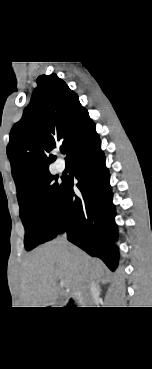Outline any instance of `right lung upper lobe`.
<instances>
[{
	"label": "right lung upper lobe",
	"instance_id": "right-lung-upper-lobe-1",
	"mask_svg": "<svg viewBox=\"0 0 152 369\" xmlns=\"http://www.w3.org/2000/svg\"><path fill=\"white\" fill-rule=\"evenodd\" d=\"M37 84L7 146L17 198L50 173L48 166L56 158L50 154L52 149L63 144L69 156L95 129L77 94L56 74L40 76Z\"/></svg>",
	"mask_w": 152,
	"mask_h": 369
}]
</instances>
